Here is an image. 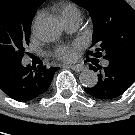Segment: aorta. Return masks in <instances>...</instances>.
Listing matches in <instances>:
<instances>
[{
    "label": "aorta",
    "instance_id": "obj_1",
    "mask_svg": "<svg viewBox=\"0 0 135 135\" xmlns=\"http://www.w3.org/2000/svg\"><path fill=\"white\" fill-rule=\"evenodd\" d=\"M37 36L45 42H53L62 34L61 22L52 16L40 18L35 25ZM79 80L83 86L93 87L98 82L97 74L91 69H85L80 73Z\"/></svg>",
    "mask_w": 135,
    "mask_h": 135
}]
</instances>
